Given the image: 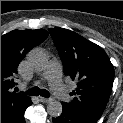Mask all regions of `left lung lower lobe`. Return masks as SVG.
I'll return each mask as SVG.
<instances>
[{
    "label": "left lung lower lobe",
    "mask_w": 123,
    "mask_h": 123,
    "mask_svg": "<svg viewBox=\"0 0 123 123\" xmlns=\"http://www.w3.org/2000/svg\"><path fill=\"white\" fill-rule=\"evenodd\" d=\"M62 105H63V112L59 117L53 119V123H96V121L82 118L74 114L63 103Z\"/></svg>",
    "instance_id": "left-lung-lower-lobe-1"
}]
</instances>
